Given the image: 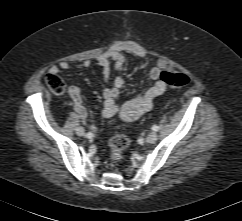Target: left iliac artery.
<instances>
[{
    "mask_svg": "<svg viewBox=\"0 0 242 221\" xmlns=\"http://www.w3.org/2000/svg\"><path fill=\"white\" fill-rule=\"evenodd\" d=\"M152 130H153V131H158V130H159V127L156 126V125H153V126H152Z\"/></svg>",
    "mask_w": 242,
    "mask_h": 221,
    "instance_id": "1",
    "label": "left iliac artery"
}]
</instances>
